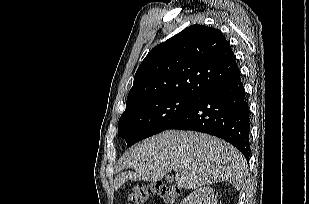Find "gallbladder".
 Instances as JSON below:
<instances>
[{"label":"gallbladder","instance_id":"bac80fb5","mask_svg":"<svg viewBox=\"0 0 309 204\" xmlns=\"http://www.w3.org/2000/svg\"><path fill=\"white\" fill-rule=\"evenodd\" d=\"M166 180L169 181V182H172L173 181V177L172 176H166Z\"/></svg>","mask_w":309,"mask_h":204}]
</instances>
